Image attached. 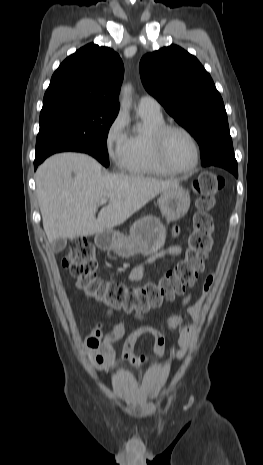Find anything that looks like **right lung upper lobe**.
I'll list each match as a JSON object with an SVG mask.
<instances>
[{"instance_id": "obj_1", "label": "right lung upper lobe", "mask_w": 263, "mask_h": 465, "mask_svg": "<svg viewBox=\"0 0 263 465\" xmlns=\"http://www.w3.org/2000/svg\"><path fill=\"white\" fill-rule=\"evenodd\" d=\"M123 76L119 55L108 47L90 43L60 64L43 104L70 101L119 110L117 101Z\"/></svg>"}]
</instances>
